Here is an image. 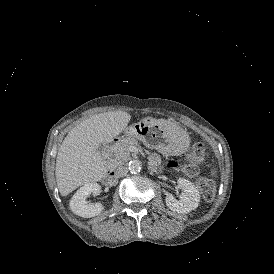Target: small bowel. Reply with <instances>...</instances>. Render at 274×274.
<instances>
[{
  "instance_id": "small-bowel-1",
  "label": "small bowel",
  "mask_w": 274,
  "mask_h": 274,
  "mask_svg": "<svg viewBox=\"0 0 274 274\" xmlns=\"http://www.w3.org/2000/svg\"><path fill=\"white\" fill-rule=\"evenodd\" d=\"M151 162L154 166L157 165V163H158V161L155 157L152 158Z\"/></svg>"
}]
</instances>
